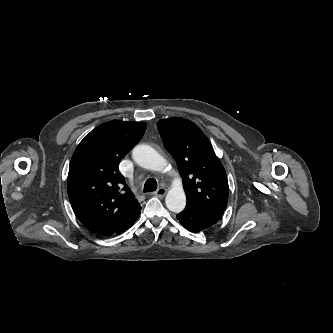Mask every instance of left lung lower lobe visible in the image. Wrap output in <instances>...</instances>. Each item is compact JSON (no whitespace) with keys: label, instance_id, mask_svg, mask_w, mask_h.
I'll use <instances>...</instances> for the list:
<instances>
[{"label":"left lung lower lobe","instance_id":"obj_1","mask_svg":"<svg viewBox=\"0 0 333 333\" xmlns=\"http://www.w3.org/2000/svg\"><path fill=\"white\" fill-rule=\"evenodd\" d=\"M221 217V214L198 210L189 205H186L185 209L177 215L180 223L187 230L195 233L212 226Z\"/></svg>","mask_w":333,"mask_h":333}]
</instances>
